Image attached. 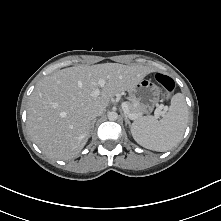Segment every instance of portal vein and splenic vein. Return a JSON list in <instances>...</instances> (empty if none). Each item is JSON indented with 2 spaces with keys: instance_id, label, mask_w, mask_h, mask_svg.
Masks as SVG:
<instances>
[{
  "instance_id": "portal-vein-and-splenic-vein-1",
  "label": "portal vein and splenic vein",
  "mask_w": 221,
  "mask_h": 221,
  "mask_svg": "<svg viewBox=\"0 0 221 221\" xmlns=\"http://www.w3.org/2000/svg\"><path fill=\"white\" fill-rule=\"evenodd\" d=\"M98 84H99V87H101V88L104 87V85H105V80H104V79H100V80L98 81ZM99 95H100V90H99V89H96V90H94V91L92 92V96L97 97V96H99ZM121 106H122V109H123L124 113H125L131 120H135V119H137V118L139 117L138 115L129 112V108H128V105H127L126 102H123ZM163 108H164V107H163L162 105H158V106H157V108H156V110H155V112H154L156 118H159V116L161 115V110H162Z\"/></svg>"
}]
</instances>
